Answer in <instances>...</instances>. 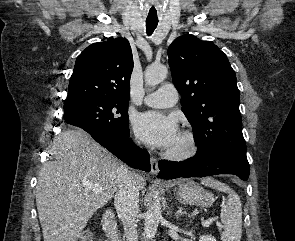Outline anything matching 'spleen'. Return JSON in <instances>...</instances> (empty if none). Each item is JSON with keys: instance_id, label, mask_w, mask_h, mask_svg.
Here are the masks:
<instances>
[{"instance_id": "1", "label": "spleen", "mask_w": 295, "mask_h": 241, "mask_svg": "<svg viewBox=\"0 0 295 241\" xmlns=\"http://www.w3.org/2000/svg\"><path fill=\"white\" fill-rule=\"evenodd\" d=\"M201 184L228 193L227 201L220 214L224 229L221 239L222 241H240L242 235V206L238 194L225 183L212 178L202 179Z\"/></svg>"}]
</instances>
